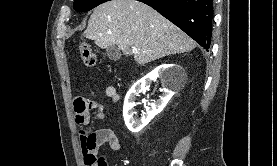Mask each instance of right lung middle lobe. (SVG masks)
Here are the masks:
<instances>
[{
  "mask_svg": "<svg viewBox=\"0 0 277 166\" xmlns=\"http://www.w3.org/2000/svg\"><path fill=\"white\" fill-rule=\"evenodd\" d=\"M110 0H75L74 10L77 12H84L93 9L94 7Z\"/></svg>",
  "mask_w": 277,
  "mask_h": 166,
  "instance_id": "obj_1",
  "label": "right lung middle lobe"
}]
</instances>
